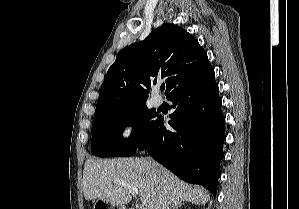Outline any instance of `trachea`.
<instances>
[{
    "label": "trachea",
    "mask_w": 299,
    "mask_h": 209,
    "mask_svg": "<svg viewBox=\"0 0 299 209\" xmlns=\"http://www.w3.org/2000/svg\"><path fill=\"white\" fill-rule=\"evenodd\" d=\"M160 89H161V91H164L165 85H162Z\"/></svg>",
    "instance_id": "3493384b"
}]
</instances>
